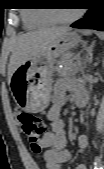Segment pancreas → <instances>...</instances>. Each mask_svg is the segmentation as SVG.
<instances>
[{"instance_id": "1", "label": "pancreas", "mask_w": 104, "mask_h": 169, "mask_svg": "<svg viewBox=\"0 0 104 169\" xmlns=\"http://www.w3.org/2000/svg\"><path fill=\"white\" fill-rule=\"evenodd\" d=\"M63 68L58 70V74L61 78L68 77L69 75H74L81 68L80 60L72 58V54L68 53L63 55L62 59Z\"/></svg>"}]
</instances>
